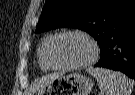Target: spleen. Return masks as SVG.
Here are the masks:
<instances>
[{"label": "spleen", "instance_id": "1", "mask_svg": "<svg viewBox=\"0 0 135 95\" xmlns=\"http://www.w3.org/2000/svg\"><path fill=\"white\" fill-rule=\"evenodd\" d=\"M87 72L96 78L103 95H131L134 83L124 74L92 67Z\"/></svg>", "mask_w": 135, "mask_h": 95}]
</instances>
